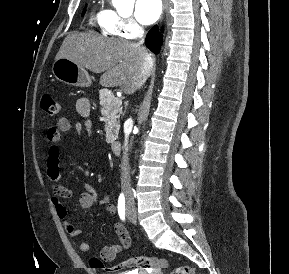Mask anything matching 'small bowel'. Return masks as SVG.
<instances>
[{
	"label": "small bowel",
	"instance_id": "1",
	"mask_svg": "<svg viewBox=\"0 0 289 274\" xmlns=\"http://www.w3.org/2000/svg\"><path fill=\"white\" fill-rule=\"evenodd\" d=\"M77 108L81 115L88 116L90 111L88 100H80L77 104ZM70 128V121L64 117L59 118L55 124L48 128L46 139L49 143V149L46 157V172L51 181V200L55 211L68 234L71 237H77L81 234V231L68 220V211L63 203V200L73 196V191L60 183V141L62 134L67 132ZM91 128L92 123L90 120L85 121L83 125L81 123L75 125L77 133H81L83 130L91 133ZM97 202V194L94 187L88 183L84 184V190L79 196L80 206L83 209H89L95 206ZM99 203L105 205L109 213H116V208L111 203L109 194H106ZM115 232L118 236V241L112 245L103 247L100 251V259L104 262H112L122 250L128 249L131 245L129 233L122 224H115ZM78 247L82 252H87L90 248L89 243L85 240H80L78 242Z\"/></svg>",
	"mask_w": 289,
	"mask_h": 274
}]
</instances>
